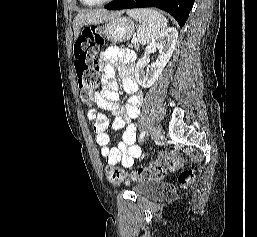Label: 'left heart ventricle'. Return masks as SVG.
Returning <instances> with one entry per match:
<instances>
[{
	"instance_id": "left-heart-ventricle-1",
	"label": "left heart ventricle",
	"mask_w": 257,
	"mask_h": 237,
	"mask_svg": "<svg viewBox=\"0 0 257 237\" xmlns=\"http://www.w3.org/2000/svg\"><path fill=\"white\" fill-rule=\"evenodd\" d=\"M89 2H99V1H103V0H87Z\"/></svg>"
}]
</instances>
